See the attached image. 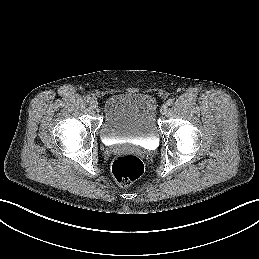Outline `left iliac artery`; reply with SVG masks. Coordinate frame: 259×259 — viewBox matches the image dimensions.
Segmentation results:
<instances>
[{"instance_id":"44dca946","label":"left iliac artery","mask_w":259,"mask_h":259,"mask_svg":"<svg viewBox=\"0 0 259 259\" xmlns=\"http://www.w3.org/2000/svg\"><path fill=\"white\" fill-rule=\"evenodd\" d=\"M166 104H167L168 106H171V105L173 104V100H172V99H168L167 102H166Z\"/></svg>"}]
</instances>
